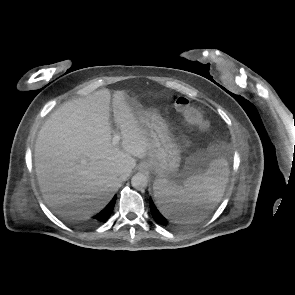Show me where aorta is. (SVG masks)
<instances>
[{"label": "aorta", "instance_id": "1", "mask_svg": "<svg viewBox=\"0 0 295 295\" xmlns=\"http://www.w3.org/2000/svg\"><path fill=\"white\" fill-rule=\"evenodd\" d=\"M131 185L137 190H143L148 185V179L144 174L137 173L131 178Z\"/></svg>", "mask_w": 295, "mask_h": 295}]
</instances>
